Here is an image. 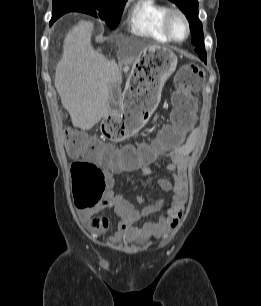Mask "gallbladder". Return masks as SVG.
<instances>
[{
    "label": "gallbladder",
    "mask_w": 261,
    "mask_h": 306,
    "mask_svg": "<svg viewBox=\"0 0 261 306\" xmlns=\"http://www.w3.org/2000/svg\"><path fill=\"white\" fill-rule=\"evenodd\" d=\"M121 100V91L119 86L111 85L110 86V104L116 105Z\"/></svg>",
    "instance_id": "1"
}]
</instances>
